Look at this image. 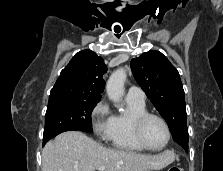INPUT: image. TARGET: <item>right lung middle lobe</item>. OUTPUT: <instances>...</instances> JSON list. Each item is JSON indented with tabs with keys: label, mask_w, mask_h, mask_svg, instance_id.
<instances>
[{
	"label": "right lung middle lobe",
	"mask_w": 223,
	"mask_h": 171,
	"mask_svg": "<svg viewBox=\"0 0 223 171\" xmlns=\"http://www.w3.org/2000/svg\"><path fill=\"white\" fill-rule=\"evenodd\" d=\"M98 102L99 100L83 98L49 100L43 141H48L67 128L92 132L91 113Z\"/></svg>",
	"instance_id": "obj_1"
}]
</instances>
